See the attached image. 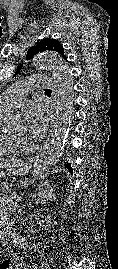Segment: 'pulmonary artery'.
<instances>
[{"label": "pulmonary artery", "mask_w": 118, "mask_h": 269, "mask_svg": "<svg viewBox=\"0 0 118 269\" xmlns=\"http://www.w3.org/2000/svg\"><path fill=\"white\" fill-rule=\"evenodd\" d=\"M49 87L51 81L44 75L20 79L0 95V108L11 111L22 102L29 90H43Z\"/></svg>", "instance_id": "obj_1"}]
</instances>
